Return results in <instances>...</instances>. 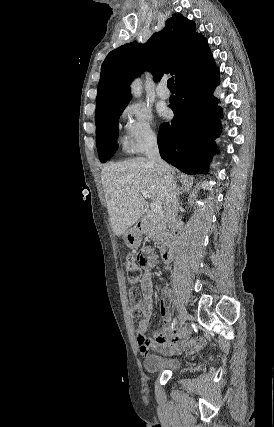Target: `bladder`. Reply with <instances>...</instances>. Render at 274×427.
Listing matches in <instances>:
<instances>
[{"instance_id":"obj_1","label":"bladder","mask_w":274,"mask_h":427,"mask_svg":"<svg viewBox=\"0 0 274 427\" xmlns=\"http://www.w3.org/2000/svg\"><path fill=\"white\" fill-rule=\"evenodd\" d=\"M180 365L179 356H161L149 354L146 356L143 366L147 374L168 373L176 370Z\"/></svg>"}]
</instances>
